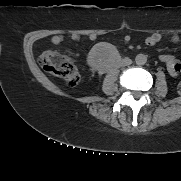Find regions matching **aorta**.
Listing matches in <instances>:
<instances>
[{"instance_id": "aorta-1", "label": "aorta", "mask_w": 181, "mask_h": 181, "mask_svg": "<svg viewBox=\"0 0 181 181\" xmlns=\"http://www.w3.org/2000/svg\"><path fill=\"white\" fill-rule=\"evenodd\" d=\"M135 62L137 65H144L147 62V56L145 54H138L135 57Z\"/></svg>"}]
</instances>
